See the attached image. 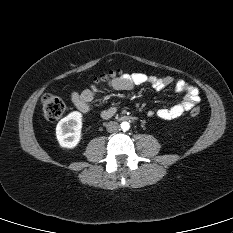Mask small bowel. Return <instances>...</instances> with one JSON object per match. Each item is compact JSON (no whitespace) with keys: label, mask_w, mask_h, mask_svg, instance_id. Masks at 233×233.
<instances>
[{"label":"small bowel","mask_w":233,"mask_h":233,"mask_svg":"<svg viewBox=\"0 0 233 233\" xmlns=\"http://www.w3.org/2000/svg\"><path fill=\"white\" fill-rule=\"evenodd\" d=\"M149 84L156 91H162L167 86L174 84L177 93L185 94L184 99L169 108H161L156 111H150V116H155L163 120H172L180 117L199 103V91L196 87L190 85L183 79H177L172 76H150L145 73L124 74L119 78L110 81L109 86L115 90H133L136 86ZM98 91L96 86H91L82 91H74L71 94V101L75 107L83 113L91 111V102L95 93ZM117 112L116 107H110L102 112L104 119L111 118Z\"/></svg>","instance_id":"small-bowel-1"}]
</instances>
